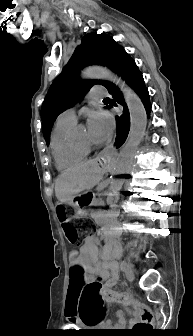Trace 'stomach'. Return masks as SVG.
<instances>
[{
    "mask_svg": "<svg viewBox=\"0 0 193 336\" xmlns=\"http://www.w3.org/2000/svg\"><path fill=\"white\" fill-rule=\"evenodd\" d=\"M111 158H101L100 164L105 165L107 162H109ZM91 197L89 194L83 193L79 194L73 197L71 204L75 207L76 212L81 216H86L88 214V210L86 208L87 205L90 204Z\"/></svg>",
    "mask_w": 193,
    "mask_h": 336,
    "instance_id": "1",
    "label": "stomach"
}]
</instances>
